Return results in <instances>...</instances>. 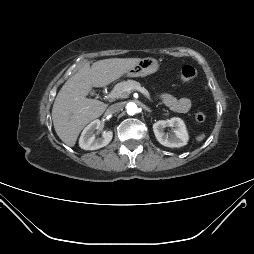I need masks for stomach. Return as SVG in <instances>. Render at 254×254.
<instances>
[{
    "label": "stomach",
    "instance_id": "0dacf381",
    "mask_svg": "<svg viewBox=\"0 0 254 254\" xmlns=\"http://www.w3.org/2000/svg\"><path fill=\"white\" fill-rule=\"evenodd\" d=\"M159 64L155 58L141 59L135 66L126 72L127 77H145L158 70Z\"/></svg>",
    "mask_w": 254,
    "mask_h": 254
}]
</instances>
